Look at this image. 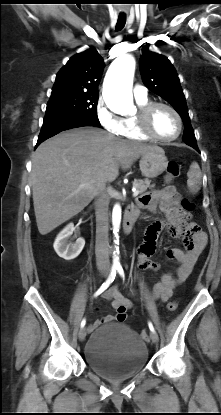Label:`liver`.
I'll return each instance as SVG.
<instances>
[{"label": "liver", "mask_w": 221, "mask_h": 415, "mask_svg": "<svg viewBox=\"0 0 221 415\" xmlns=\"http://www.w3.org/2000/svg\"><path fill=\"white\" fill-rule=\"evenodd\" d=\"M155 148L93 127L65 131L43 142L32 156L31 170L40 234H48L77 215L100 188L118 177L120 166L128 169Z\"/></svg>", "instance_id": "6515ba94"}]
</instances>
